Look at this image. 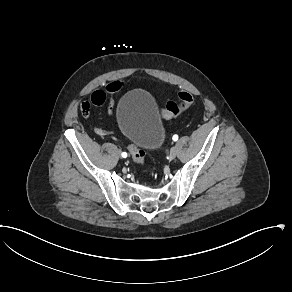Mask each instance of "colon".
<instances>
[{
    "instance_id": "obj_1",
    "label": "colon",
    "mask_w": 292,
    "mask_h": 292,
    "mask_svg": "<svg viewBox=\"0 0 292 292\" xmlns=\"http://www.w3.org/2000/svg\"><path fill=\"white\" fill-rule=\"evenodd\" d=\"M178 100H169L165 103V106L161 108L160 116L162 119H172L180 115L183 111L189 109L194 102L193 97L186 92H181L178 95ZM106 100V94L104 91L100 90L96 92L91 101H84L80 106V112L83 116H87L92 105L100 106ZM99 131H101L99 129ZM128 151L132 161L139 166L145 163V152L136 144H130L128 146Z\"/></svg>"
}]
</instances>
